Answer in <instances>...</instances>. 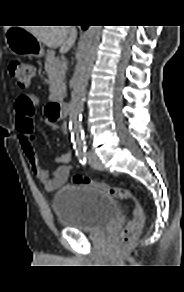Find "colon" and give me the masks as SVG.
<instances>
[{"label":"colon","instance_id":"obj_1","mask_svg":"<svg viewBox=\"0 0 184 292\" xmlns=\"http://www.w3.org/2000/svg\"><path fill=\"white\" fill-rule=\"evenodd\" d=\"M35 66L20 59H14L9 64V72L21 89H27L35 75ZM37 104L34 97L28 94L20 95L15 101V112L18 125L29 130L34 126ZM75 184L93 185L119 199H133L134 211L132 220L122 229L119 242L122 245L133 243L139 236L144 225V211L137 197L127 188L114 187L102 182H94L77 175L73 178Z\"/></svg>","mask_w":184,"mask_h":292}]
</instances>
